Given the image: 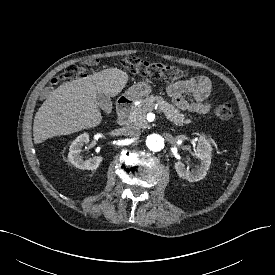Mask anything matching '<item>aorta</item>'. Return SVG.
Instances as JSON below:
<instances>
[{
	"label": "aorta",
	"instance_id": "obj_1",
	"mask_svg": "<svg viewBox=\"0 0 275 275\" xmlns=\"http://www.w3.org/2000/svg\"><path fill=\"white\" fill-rule=\"evenodd\" d=\"M146 146L151 151H161L165 146L164 138L159 134H151L146 139Z\"/></svg>",
	"mask_w": 275,
	"mask_h": 275
}]
</instances>
